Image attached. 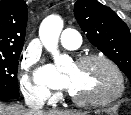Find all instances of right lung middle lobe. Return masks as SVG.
Instances as JSON below:
<instances>
[{
  "instance_id": "1",
  "label": "right lung middle lobe",
  "mask_w": 131,
  "mask_h": 115,
  "mask_svg": "<svg viewBox=\"0 0 131 115\" xmlns=\"http://www.w3.org/2000/svg\"><path fill=\"white\" fill-rule=\"evenodd\" d=\"M20 53L0 54V99L19 97L17 70Z\"/></svg>"
}]
</instances>
